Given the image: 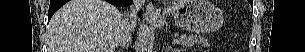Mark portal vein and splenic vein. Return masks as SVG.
Segmentation results:
<instances>
[{"instance_id": "portal-vein-and-splenic-vein-1", "label": "portal vein and splenic vein", "mask_w": 305, "mask_h": 52, "mask_svg": "<svg viewBox=\"0 0 305 52\" xmlns=\"http://www.w3.org/2000/svg\"><path fill=\"white\" fill-rule=\"evenodd\" d=\"M179 43H180V40H179V39H175V40L172 42L173 45H178Z\"/></svg>"}]
</instances>
